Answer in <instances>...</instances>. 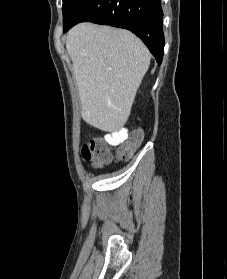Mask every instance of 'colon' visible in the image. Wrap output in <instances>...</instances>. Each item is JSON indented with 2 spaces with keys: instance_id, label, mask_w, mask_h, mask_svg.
<instances>
[{
  "instance_id": "obj_1",
  "label": "colon",
  "mask_w": 227,
  "mask_h": 279,
  "mask_svg": "<svg viewBox=\"0 0 227 279\" xmlns=\"http://www.w3.org/2000/svg\"><path fill=\"white\" fill-rule=\"evenodd\" d=\"M142 140V131H133L130 137L118 147L117 157L123 160L128 159L141 144ZM81 153L85 162H91L97 166L106 164L112 159L110 150L100 139H94L84 145Z\"/></svg>"
}]
</instances>
